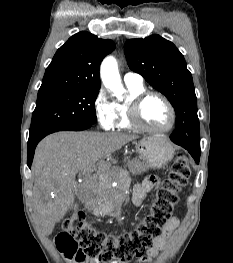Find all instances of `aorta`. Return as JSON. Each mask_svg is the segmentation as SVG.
I'll return each mask as SVG.
<instances>
[{
    "label": "aorta",
    "mask_w": 233,
    "mask_h": 263,
    "mask_svg": "<svg viewBox=\"0 0 233 263\" xmlns=\"http://www.w3.org/2000/svg\"><path fill=\"white\" fill-rule=\"evenodd\" d=\"M100 75L104 86L110 89L118 100H123L125 89L121 83L117 61L113 56H108L104 59Z\"/></svg>",
    "instance_id": "1"
}]
</instances>
